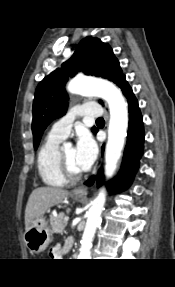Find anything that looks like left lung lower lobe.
Masks as SVG:
<instances>
[{
    "mask_svg": "<svg viewBox=\"0 0 175 287\" xmlns=\"http://www.w3.org/2000/svg\"><path fill=\"white\" fill-rule=\"evenodd\" d=\"M123 94L127 98L129 107V128L120 173L108 184V189L113 193L123 191L131 184L135 173L138 170L140 158L143 154V143L145 136L138 101L133 94L131 87L127 86L123 90ZM97 178L98 186H100L103 182V175L101 174V171L99 172ZM94 179L95 177L90 178L85 182V184L92 185L94 183Z\"/></svg>",
    "mask_w": 175,
    "mask_h": 287,
    "instance_id": "0a47b994",
    "label": "left lung lower lobe"
}]
</instances>
